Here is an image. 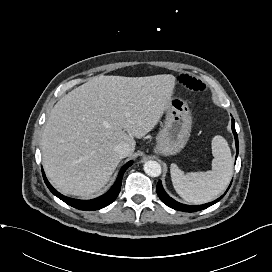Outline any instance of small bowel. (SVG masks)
Returning a JSON list of instances; mask_svg holds the SVG:
<instances>
[{
  "mask_svg": "<svg viewBox=\"0 0 272 272\" xmlns=\"http://www.w3.org/2000/svg\"><path fill=\"white\" fill-rule=\"evenodd\" d=\"M175 82L177 85L193 93H205L207 91V87L204 82L187 74H179L176 76Z\"/></svg>",
  "mask_w": 272,
  "mask_h": 272,
  "instance_id": "obj_1",
  "label": "small bowel"
}]
</instances>
